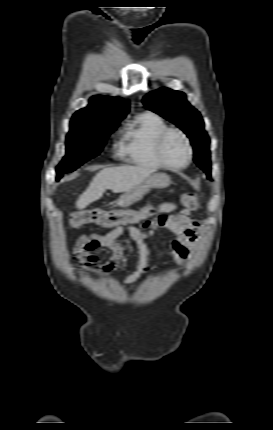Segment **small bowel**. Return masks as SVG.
Wrapping results in <instances>:
<instances>
[{"label":"small bowel","mask_w":273,"mask_h":430,"mask_svg":"<svg viewBox=\"0 0 273 430\" xmlns=\"http://www.w3.org/2000/svg\"><path fill=\"white\" fill-rule=\"evenodd\" d=\"M172 203H162L158 211L163 213L158 219L144 224L140 228L133 226H117L105 234L85 235L79 239L78 245H86L88 251H82L75 259L83 268H90L97 272H105L117 267L123 260L125 249L117 239L125 232L135 241L137 248V261L135 270L127 275L122 284L129 285L136 282L143 273L150 268V248L147 240L155 235L158 228H167L173 235L170 254L179 266H183L189 257L195 243L199 239V226L189 212H175ZM111 250L112 257L105 265L99 264V259L89 252L96 248Z\"/></svg>","instance_id":"obj_1"}]
</instances>
